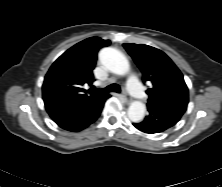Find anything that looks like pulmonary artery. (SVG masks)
Masks as SVG:
<instances>
[{
	"label": "pulmonary artery",
	"instance_id": "1",
	"mask_svg": "<svg viewBox=\"0 0 222 187\" xmlns=\"http://www.w3.org/2000/svg\"><path fill=\"white\" fill-rule=\"evenodd\" d=\"M128 90H129L130 94L133 97H135L136 99H139V100L146 99V95H145L137 77L134 74L130 75V77L128 79Z\"/></svg>",
	"mask_w": 222,
	"mask_h": 187
}]
</instances>
